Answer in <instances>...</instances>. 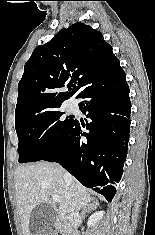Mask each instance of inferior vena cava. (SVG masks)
Here are the masks:
<instances>
[{
	"mask_svg": "<svg viewBox=\"0 0 155 235\" xmlns=\"http://www.w3.org/2000/svg\"><path fill=\"white\" fill-rule=\"evenodd\" d=\"M68 221H69V226L71 228V232L75 233L81 221V216L79 215V212L77 210L72 209L71 213L68 216Z\"/></svg>",
	"mask_w": 155,
	"mask_h": 235,
	"instance_id": "inferior-vena-cava-1",
	"label": "inferior vena cava"
}]
</instances>
